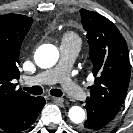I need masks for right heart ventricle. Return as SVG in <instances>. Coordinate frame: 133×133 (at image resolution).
I'll use <instances>...</instances> for the list:
<instances>
[{
  "mask_svg": "<svg viewBox=\"0 0 133 133\" xmlns=\"http://www.w3.org/2000/svg\"><path fill=\"white\" fill-rule=\"evenodd\" d=\"M62 44L70 45V46H77L80 48L81 46V39L80 37L74 32H66L62 36Z\"/></svg>",
  "mask_w": 133,
  "mask_h": 133,
  "instance_id": "e07e8e85",
  "label": "right heart ventricle"
}]
</instances>
